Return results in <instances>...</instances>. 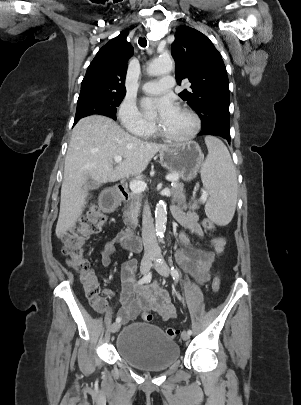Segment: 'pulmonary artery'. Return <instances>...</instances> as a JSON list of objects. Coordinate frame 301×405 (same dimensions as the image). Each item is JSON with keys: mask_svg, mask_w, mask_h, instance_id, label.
I'll use <instances>...</instances> for the list:
<instances>
[{"mask_svg": "<svg viewBox=\"0 0 301 405\" xmlns=\"http://www.w3.org/2000/svg\"><path fill=\"white\" fill-rule=\"evenodd\" d=\"M175 84V79L173 76H163L158 80L148 81L143 84L142 89L144 92L149 94H159L166 90L171 89Z\"/></svg>", "mask_w": 301, "mask_h": 405, "instance_id": "obj_1", "label": "pulmonary artery"}]
</instances>
